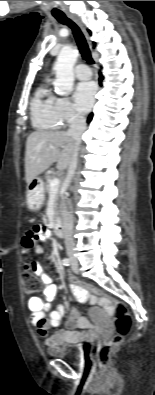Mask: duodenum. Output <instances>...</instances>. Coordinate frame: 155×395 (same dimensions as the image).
<instances>
[{"mask_svg":"<svg viewBox=\"0 0 155 395\" xmlns=\"http://www.w3.org/2000/svg\"><path fill=\"white\" fill-rule=\"evenodd\" d=\"M54 231L59 237L64 236V225L60 218H56L54 222Z\"/></svg>","mask_w":155,"mask_h":395,"instance_id":"410a0bca","label":"duodenum"}]
</instances>
